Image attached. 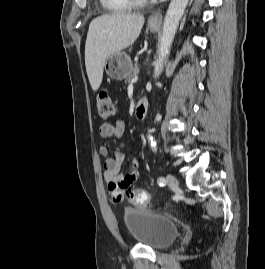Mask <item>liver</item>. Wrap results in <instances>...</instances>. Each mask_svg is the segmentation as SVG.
Returning a JSON list of instances; mask_svg holds the SVG:
<instances>
[{"label": "liver", "instance_id": "1", "mask_svg": "<svg viewBox=\"0 0 265 269\" xmlns=\"http://www.w3.org/2000/svg\"><path fill=\"white\" fill-rule=\"evenodd\" d=\"M145 18L141 14L112 13L93 19L85 43V66L93 91L102 83L108 57L131 46L139 37Z\"/></svg>", "mask_w": 265, "mask_h": 269}]
</instances>
